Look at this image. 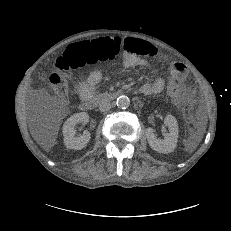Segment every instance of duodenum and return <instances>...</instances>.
Masks as SVG:
<instances>
[{"mask_svg":"<svg viewBox=\"0 0 231 231\" xmlns=\"http://www.w3.org/2000/svg\"><path fill=\"white\" fill-rule=\"evenodd\" d=\"M119 97L118 92H107L98 95L95 98H87L83 99L81 103V107L84 110H92L96 107L98 103L104 102V101H113Z\"/></svg>","mask_w":231,"mask_h":231,"instance_id":"1","label":"duodenum"}]
</instances>
